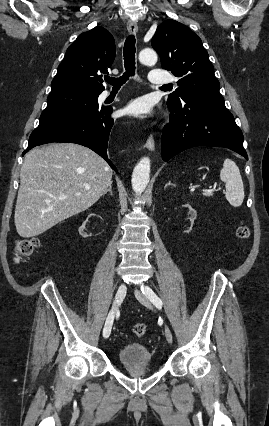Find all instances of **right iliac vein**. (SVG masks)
Returning a JSON list of instances; mask_svg holds the SVG:
<instances>
[{"instance_id":"1","label":"right iliac vein","mask_w":269,"mask_h":426,"mask_svg":"<svg viewBox=\"0 0 269 426\" xmlns=\"http://www.w3.org/2000/svg\"><path fill=\"white\" fill-rule=\"evenodd\" d=\"M125 294H126V286H125V284H121L117 289L113 308L109 312V314L106 318V321H105V325H104V328H103V336L105 338H108L109 335L111 334V329H112V325H113V321H114V317H115V312L117 310V307L123 301Z\"/></svg>"}]
</instances>
